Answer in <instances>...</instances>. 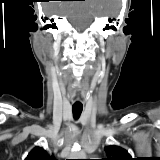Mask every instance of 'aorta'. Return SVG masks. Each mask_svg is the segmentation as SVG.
I'll use <instances>...</instances> for the list:
<instances>
[{
    "label": "aorta",
    "instance_id": "762f6f07",
    "mask_svg": "<svg viewBox=\"0 0 160 160\" xmlns=\"http://www.w3.org/2000/svg\"><path fill=\"white\" fill-rule=\"evenodd\" d=\"M70 159H86V154L83 151H73Z\"/></svg>",
    "mask_w": 160,
    "mask_h": 160
}]
</instances>
